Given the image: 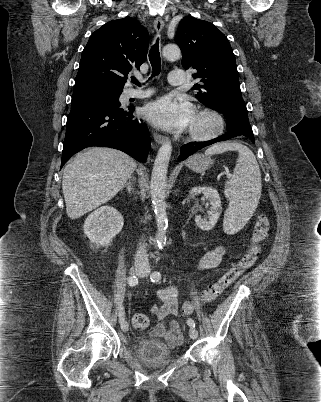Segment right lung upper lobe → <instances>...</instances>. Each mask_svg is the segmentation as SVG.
Here are the masks:
<instances>
[{"label": "right lung upper lobe", "instance_id": "1", "mask_svg": "<svg viewBox=\"0 0 321 402\" xmlns=\"http://www.w3.org/2000/svg\"><path fill=\"white\" fill-rule=\"evenodd\" d=\"M148 46L149 35L136 19L104 24L82 52L75 85L94 83L123 89L129 72L145 62Z\"/></svg>", "mask_w": 321, "mask_h": 402}]
</instances>
